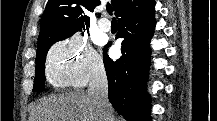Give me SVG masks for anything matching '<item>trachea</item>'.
I'll return each mask as SVG.
<instances>
[{
	"label": "trachea",
	"instance_id": "1",
	"mask_svg": "<svg viewBox=\"0 0 217 121\" xmlns=\"http://www.w3.org/2000/svg\"><path fill=\"white\" fill-rule=\"evenodd\" d=\"M107 11L110 15H112L113 9L111 5H107Z\"/></svg>",
	"mask_w": 217,
	"mask_h": 121
}]
</instances>
